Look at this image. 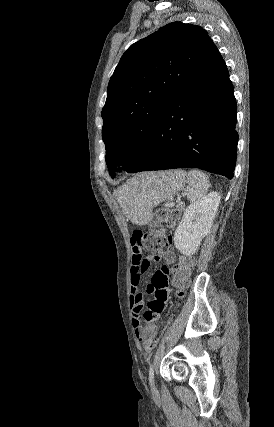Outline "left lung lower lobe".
Here are the masks:
<instances>
[{"mask_svg":"<svg viewBox=\"0 0 274 427\" xmlns=\"http://www.w3.org/2000/svg\"><path fill=\"white\" fill-rule=\"evenodd\" d=\"M227 67L213 44L164 112L142 155L126 172L199 168L233 178L238 134Z\"/></svg>","mask_w":274,"mask_h":427,"instance_id":"left-lung-lower-lobe-1","label":"left lung lower lobe"}]
</instances>
